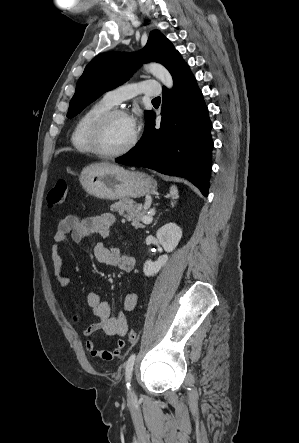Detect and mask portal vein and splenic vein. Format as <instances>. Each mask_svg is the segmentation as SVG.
<instances>
[{
	"label": "portal vein and splenic vein",
	"mask_w": 299,
	"mask_h": 443,
	"mask_svg": "<svg viewBox=\"0 0 299 443\" xmlns=\"http://www.w3.org/2000/svg\"><path fill=\"white\" fill-rule=\"evenodd\" d=\"M152 221H153V217H152L151 213L146 215V216H144L143 219H142V222L144 224H150Z\"/></svg>",
	"instance_id": "obj_1"
}]
</instances>
